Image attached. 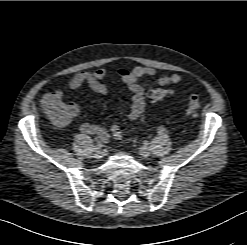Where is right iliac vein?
I'll list each match as a JSON object with an SVG mask.
<instances>
[{
  "label": "right iliac vein",
  "instance_id": "right-iliac-vein-1",
  "mask_svg": "<svg viewBox=\"0 0 247 245\" xmlns=\"http://www.w3.org/2000/svg\"><path fill=\"white\" fill-rule=\"evenodd\" d=\"M93 157L97 160L101 159L103 157V152L100 150L95 151Z\"/></svg>",
  "mask_w": 247,
  "mask_h": 245
}]
</instances>
